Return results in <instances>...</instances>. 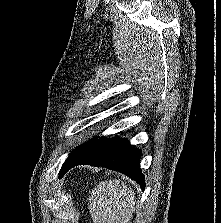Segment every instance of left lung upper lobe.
<instances>
[{
	"label": "left lung upper lobe",
	"instance_id": "5c2ea615",
	"mask_svg": "<svg viewBox=\"0 0 221 223\" xmlns=\"http://www.w3.org/2000/svg\"><path fill=\"white\" fill-rule=\"evenodd\" d=\"M97 138L91 139L90 141L76 147L72 153L69 155V157L66 159V161L64 162L61 170H60V178L64 175V173L66 172V169L69 165L70 162H72L77 156H79L84 150H86Z\"/></svg>",
	"mask_w": 221,
	"mask_h": 223
}]
</instances>
